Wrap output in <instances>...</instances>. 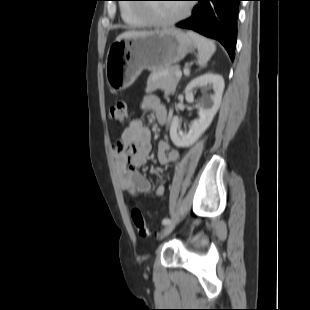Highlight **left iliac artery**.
<instances>
[{
    "label": "left iliac artery",
    "mask_w": 310,
    "mask_h": 310,
    "mask_svg": "<svg viewBox=\"0 0 310 310\" xmlns=\"http://www.w3.org/2000/svg\"><path fill=\"white\" fill-rule=\"evenodd\" d=\"M170 222H171V220H170L169 218H165V219H163L162 224H163V225H167V224H169Z\"/></svg>",
    "instance_id": "obj_1"
}]
</instances>
